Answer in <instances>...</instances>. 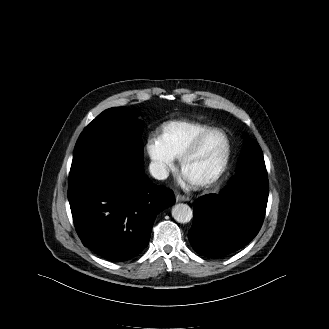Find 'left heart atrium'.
<instances>
[{
    "mask_svg": "<svg viewBox=\"0 0 329 329\" xmlns=\"http://www.w3.org/2000/svg\"><path fill=\"white\" fill-rule=\"evenodd\" d=\"M184 179H185L186 181H189L185 176H184Z\"/></svg>",
    "mask_w": 329,
    "mask_h": 329,
    "instance_id": "left-heart-atrium-1",
    "label": "left heart atrium"
}]
</instances>
